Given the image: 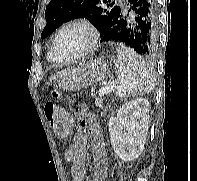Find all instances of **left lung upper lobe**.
I'll return each instance as SVG.
<instances>
[{
    "mask_svg": "<svg viewBox=\"0 0 197 181\" xmlns=\"http://www.w3.org/2000/svg\"><path fill=\"white\" fill-rule=\"evenodd\" d=\"M121 10L113 0H51L45 10L47 24L41 37L46 38L67 21L86 18L95 25L102 38Z\"/></svg>",
    "mask_w": 197,
    "mask_h": 181,
    "instance_id": "obj_1",
    "label": "left lung upper lobe"
}]
</instances>
